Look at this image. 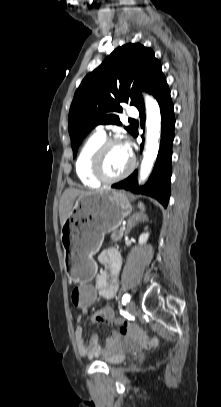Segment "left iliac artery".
<instances>
[{
  "label": "left iliac artery",
  "instance_id": "1",
  "mask_svg": "<svg viewBox=\"0 0 221 407\" xmlns=\"http://www.w3.org/2000/svg\"><path fill=\"white\" fill-rule=\"evenodd\" d=\"M130 299H131L130 294H128V293L124 294L122 297V304L125 305L127 302L130 301Z\"/></svg>",
  "mask_w": 221,
  "mask_h": 407
}]
</instances>
